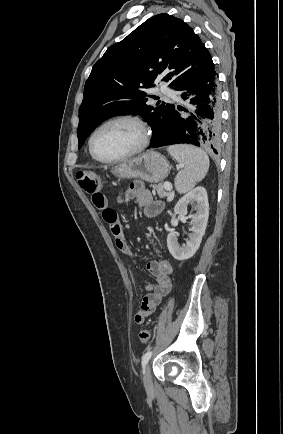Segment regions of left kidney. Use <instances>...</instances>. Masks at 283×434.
Wrapping results in <instances>:
<instances>
[{"label":"left kidney","instance_id":"obj_1","mask_svg":"<svg viewBox=\"0 0 283 434\" xmlns=\"http://www.w3.org/2000/svg\"><path fill=\"white\" fill-rule=\"evenodd\" d=\"M197 203L196 213L191 215V234L185 245L180 246L178 243V234L172 231L167 236V247L174 259L183 261L191 258L198 250L209 217V204L206 189L198 186L185 194L175 205L174 215L171 219V225L177 226L178 219L176 215L185 214L190 203Z\"/></svg>","mask_w":283,"mask_h":434}]
</instances>
